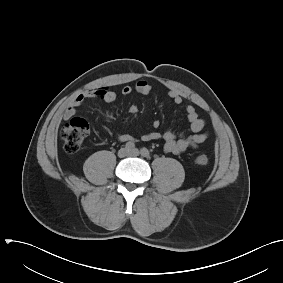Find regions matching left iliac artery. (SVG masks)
<instances>
[{
  "instance_id": "1",
  "label": "left iliac artery",
  "mask_w": 283,
  "mask_h": 283,
  "mask_svg": "<svg viewBox=\"0 0 283 283\" xmlns=\"http://www.w3.org/2000/svg\"><path fill=\"white\" fill-rule=\"evenodd\" d=\"M141 154H142V156H144V157H146V158H150V156H151L149 150H148L147 148H145V147H143V148L141 149Z\"/></svg>"
}]
</instances>
